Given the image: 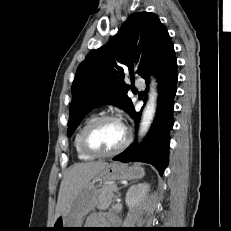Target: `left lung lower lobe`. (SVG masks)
Masks as SVG:
<instances>
[{
    "mask_svg": "<svg viewBox=\"0 0 231 231\" xmlns=\"http://www.w3.org/2000/svg\"><path fill=\"white\" fill-rule=\"evenodd\" d=\"M149 72L156 74L159 82V98L153 124L140 145L135 140L133 144L121 154L115 156L113 160L124 163L130 161L150 163L160 173H163L168 164L169 130L173 126L172 114L178 79L174 46L169 35L143 75L147 82L149 81ZM140 116V113H136L135 110L131 115L135 120L136 128L138 127Z\"/></svg>",
    "mask_w": 231,
    "mask_h": 231,
    "instance_id": "obj_1",
    "label": "left lung lower lobe"
}]
</instances>
